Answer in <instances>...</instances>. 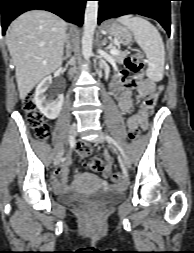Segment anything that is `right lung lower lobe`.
<instances>
[{"label":"right lung lower lobe","instance_id":"obj_1","mask_svg":"<svg viewBox=\"0 0 194 253\" xmlns=\"http://www.w3.org/2000/svg\"><path fill=\"white\" fill-rule=\"evenodd\" d=\"M2 4V30L5 33L12 20L23 12L42 9L60 16L64 20L77 24L83 23L87 0H0Z\"/></svg>","mask_w":194,"mask_h":253}]
</instances>
